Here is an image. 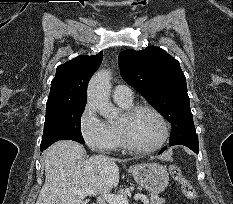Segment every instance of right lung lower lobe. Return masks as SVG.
I'll list each match as a JSON object with an SVG mask.
<instances>
[{
	"instance_id": "right-lung-lower-lobe-1",
	"label": "right lung lower lobe",
	"mask_w": 233,
	"mask_h": 204,
	"mask_svg": "<svg viewBox=\"0 0 233 204\" xmlns=\"http://www.w3.org/2000/svg\"><path fill=\"white\" fill-rule=\"evenodd\" d=\"M40 149H41L42 151L45 150V149H43V148H40Z\"/></svg>"
}]
</instances>
